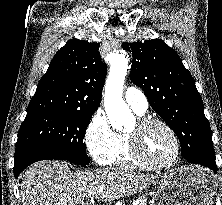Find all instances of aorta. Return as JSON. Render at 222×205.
<instances>
[{"label": "aorta", "instance_id": "aorta-1", "mask_svg": "<svg viewBox=\"0 0 222 205\" xmlns=\"http://www.w3.org/2000/svg\"><path fill=\"white\" fill-rule=\"evenodd\" d=\"M128 68L124 54H116L111 62L110 72L105 83L104 107L110 124L117 130L131 126L134 116L122 99L123 86Z\"/></svg>", "mask_w": 222, "mask_h": 205}]
</instances>
